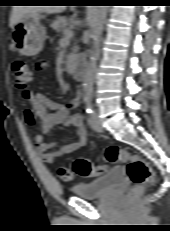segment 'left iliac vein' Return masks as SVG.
I'll use <instances>...</instances> for the list:
<instances>
[{
  "instance_id": "obj_1",
  "label": "left iliac vein",
  "mask_w": 170,
  "mask_h": 231,
  "mask_svg": "<svg viewBox=\"0 0 170 231\" xmlns=\"http://www.w3.org/2000/svg\"><path fill=\"white\" fill-rule=\"evenodd\" d=\"M90 123H91V127L97 131V132H103V127L101 125L100 119L98 117V114L96 112H94L93 114H91L90 116Z\"/></svg>"
}]
</instances>
